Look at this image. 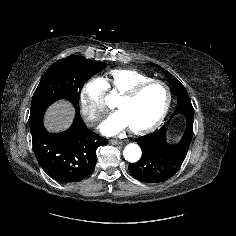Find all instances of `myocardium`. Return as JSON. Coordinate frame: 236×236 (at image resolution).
<instances>
[{"instance_id": "1", "label": "myocardium", "mask_w": 236, "mask_h": 236, "mask_svg": "<svg viewBox=\"0 0 236 236\" xmlns=\"http://www.w3.org/2000/svg\"><path fill=\"white\" fill-rule=\"evenodd\" d=\"M153 84L162 85L166 89L167 101H166V104L163 107L160 115L157 117V119L154 122H152L151 124H149L145 127H142V128L130 127V131L136 135H144V134L150 133L161 125V123L165 119V117L171 107V104H172L171 88L166 82H164L162 80L151 79V80H148V81H145V82H142V83L136 85L130 91L120 95V97H119L120 102H130V101L136 99L146 88H148L149 86H151Z\"/></svg>"}]
</instances>
